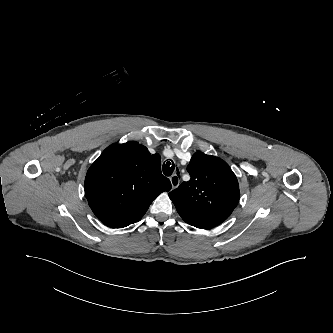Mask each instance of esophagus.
<instances>
[{"instance_id":"34e87169","label":"esophagus","mask_w":333,"mask_h":333,"mask_svg":"<svg viewBox=\"0 0 333 333\" xmlns=\"http://www.w3.org/2000/svg\"><path fill=\"white\" fill-rule=\"evenodd\" d=\"M170 182H171L172 189L177 188L179 186V183H180L179 175L178 174H173L170 177Z\"/></svg>"}]
</instances>
